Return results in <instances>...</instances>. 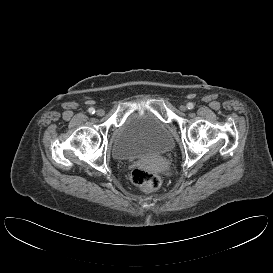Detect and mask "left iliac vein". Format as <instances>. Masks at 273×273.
Here are the masks:
<instances>
[{
	"label": "left iliac vein",
	"instance_id": "1",
	"mask_svg": "<svg viewBox=\"0 0 273 273\" xmlns=\"http://www.w3.org/2000/svg\"><path fill=\"white\" fill-rule=\"evenodd\" d=\"M179 109L184 112L187 110V107L185 105H181Z\"/></svg>",
	"mask_w": 273,
	"mask_h": 273
}]
</instances>
